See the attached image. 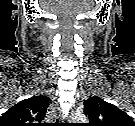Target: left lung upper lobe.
Wrapping results in <instances>:
<instances>
[{"instance_id":"obj_1","label":"left lung upper lobe","mask_w":135,"mask_h":126,"mask_svg":"<svg viewBox=\"0 0 135 126\" xmlns=\"http://www.w3.org/2000/svg\"><path fill=\"white\" fill-rule=\"evenodd\" d=\"M84 114L89 126H135L129 115L97 96L84 102Z\"/></svg>"}]
</instances>
